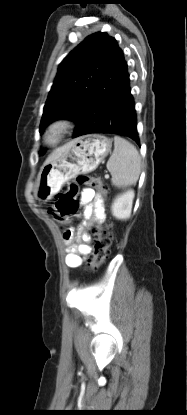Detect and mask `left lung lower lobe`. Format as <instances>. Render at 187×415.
Returning a JSON list of instances; mask_svg holds the SVG:
<instances>
[{
	"instance_id": "obj_1",
	"label": "left lung lower lobe",
	"mask_w": 187,
	"mask_h": 415,
	"mask_svg": "<svg viewBox=\"0 0 187 415\" xmlns=\"http://www.w3.org/2000/svg\"><path fill=\"white\" fill-rule=\"evenodd\" d=\"M90 102L95 105L98 102V110L93 116L89 114L77 124L73 137L110 133L129 137L140 144L128 66L118 44L96 81Z\"/></svg>"
}]
</instances>
